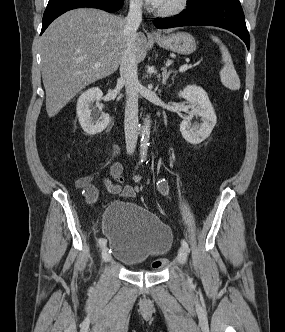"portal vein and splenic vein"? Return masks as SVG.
Returning a JSON list of instances; mask_svg holds the SVG:
<instances>
[{
    "label": "portal vein and splenic vein",
    "instance_id": "18ae733b",
    "mask_svg": "<svg viewBox=\"0 0 285 332\" xmlns=\"http://www.w3.org/2000/svg\"><path fill=\"white\" fill-rule=\"evenodd\" d=\"M96 67H100L101 65L100 64H95ZM189 68V66L187 64H184L182 65L180 68H179V71L180 72H184L186 71L187 69Z\"/></svg>",
    "mask_w": 285,
    "mask_h": 332
}]
</instances>
